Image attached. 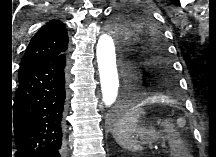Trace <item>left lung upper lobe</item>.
I'll use <instances>...</instances> for the list:
<instances>
[{
  "mask_svg": "<svg viewBox=\"0 0 216 157\" xmlns=\"http://www.w3.org/2000/svg\"><path fill=\"white\" fill-rule=\"evenodd\" d=\"M107 28L117 37L131 88L155 96L179 97L180 85L163 31L150 10L121 6L114 12Z\"/></svg>",
  "mask_w": 216,
  "mask_h": 157,
  "instance_id": "1",
  "label": "left lung upper lobe"
}]
</instances>
